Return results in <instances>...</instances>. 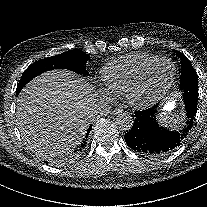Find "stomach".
I'll list each match as a JSON object with an SVG mask.
<instances>
[{
    "label": "stomach",
    "mask_w": 207,
    "mask_h": 207,
    "mask_svg": "<svg viewBox=\"0 0 207 207\" xmlns=\"http://www.w3.org/2000/svg\"><path fill=\"white\" fill-rule=\"evenodd\" d=\"M174 106H175L174 102H171V103H168L164 108L166 110H172Z\"/></svg>",
    "instance_id": "0dacf381"
}]
</instances>
